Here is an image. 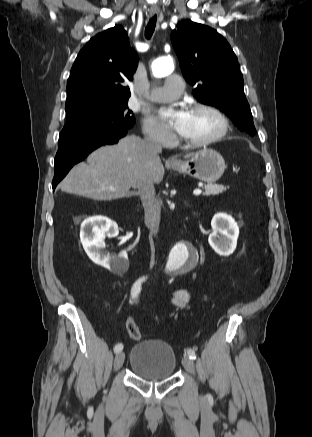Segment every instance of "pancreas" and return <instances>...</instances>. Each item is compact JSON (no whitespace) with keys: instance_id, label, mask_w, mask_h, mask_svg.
Returning <instances> with one entry per match:
<instances>
[{"instance_id":"obj_1","label":"pancreas","mask_w":312,"mask_h":437,"mask_svg":"<svg viewBox=\"0 0 312 437\" xmlns=\"http://www.w3.org/2000/svg\"><path fill=\"white\" fill-rule=\"evenodd\" d=\"M204 188H205L204 195L206 196L218 195L223 193L227 189L226 186L217 185V184H207L204 186Z\"/></svg>"}]
</instances>
